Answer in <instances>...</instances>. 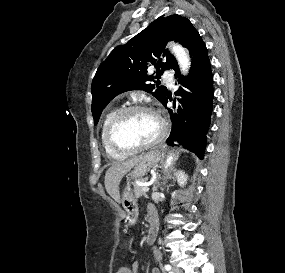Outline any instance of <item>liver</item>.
I'll return each mask as SVG.
<instances>
[{"label": "liver", "instance_id": "6515ba94", "mask_svg": "<svg viewBox=\"0 0 285 273\" xmlns=\"http://www.w3.org/2000/svg\"><path fill=\"white\" fill-rule=\"evenodd\" d=\"M142 155L135 156L127 161L115 162L105 174V188L107 193L116 201L120 202L119 184L122 177L133 168L141 159Z\"/></svg>", "mask_w": 285, "mask_h": 273}]
</instances>
